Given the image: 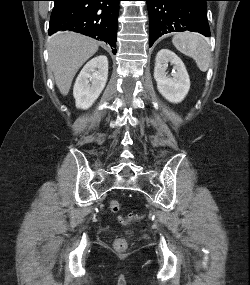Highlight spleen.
I'll list each match as a JSON object with an SVG mask.
<instances>
[{"instance_id": "obj_1", "label": "spleen", "mask_w": 250, "mask_h": 285, "mask_svg": "<svg viewBox=\"0 0 250 285\" xmlns=\"http://www.w3.org/2000/svg\"><path fill=\"white\" fill-rule=\"evenodd\" d=\"M172 43L178 51L193 58L202 72L209 68L211 59L210 45L207 40L195 32L177 33Z\"/></svg>"}]
</instances>
